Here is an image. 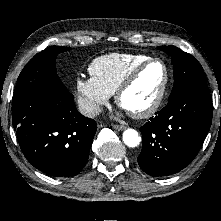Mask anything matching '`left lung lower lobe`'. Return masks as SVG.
Listing matches in <instances>:
<instances>
[{
  "label": "left lung lower lobe",
  "mask_w": 221,
  "mask_h": 221,
  "mask_svg": "<svg viewBox=\"0 0 221 221\" xmlns=\"http://www.w3.org/2000/svg\"><path fill=\"white\" fill-rule=\"evenodd\" d=\"M212 101L207 86L189 88L141 126V169L151 176L179 172L195 158L210 129Z\"/></svg>",
  "instance_id": "0a47b994"
}]
</instances>
